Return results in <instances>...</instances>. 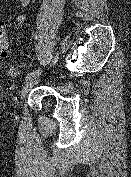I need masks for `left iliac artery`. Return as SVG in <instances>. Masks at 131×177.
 <instances>
[{"instance_id":"obj_1","label":"left iliac artery","mask_w":131,"mask_h":177,"mask_svg":"<svg viewBox=\"0 0 131 177\" xmlns=\"http://www.w3.org/2000/svg\"><path fill=\"white\" fill-rule=\"evenodd\" d=\"M57 60L54 61V63L56 62ZM42 70L40 69H36V70H33L32 72L28 73L26 75V81L31 79L32 77H34L35 75H39L41 74Z\"/></svg>"}]
</instances>
